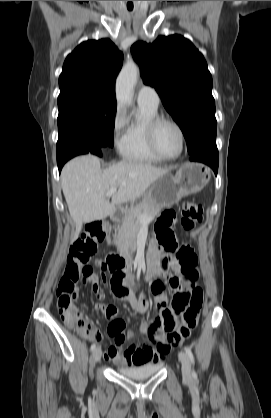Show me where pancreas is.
I'll return each instance as SVG.
<instances>
[{"label":"pancreas","mask_w":271,"mask_h":418,"mask_svg":"<svg viewBox=\"0 0 271 418\" xmlns=\"http://www.w3.org/2000/svg\"><path fill=\"white\" fill-rule=\"evenodd\" d=\"M159 212L160 208L147 200L126 208L125 217L116 237L117 245L122 249L135 247L137 235L144 224L140 216H146L152 220Z\"/></svg>","instance_id":"1"}]
</instances>
